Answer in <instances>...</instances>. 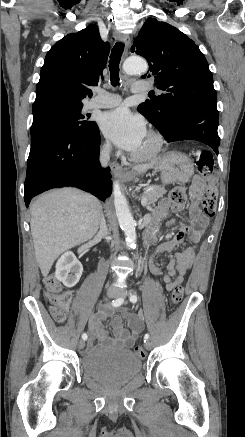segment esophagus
<instances>
[{
	"instance_id": "obj_1",
	"label": "esophagus",
	"mask_w": 245,
	"mask_h": 437,
	"mask_svg": "<svg viewBox=\"0 0 245 437\" xmlns=\"http://www.w3.org/2000/svg\"><path fill=\"white\" fill-rule=\"evenodd\" d=\"M115 37L117 40L125 44V53H126L130 42L129 36L123 33H116ZM110 167L115 175L123 174V169L117 162H112Z\"/></svg>"
}]
</instances>
